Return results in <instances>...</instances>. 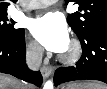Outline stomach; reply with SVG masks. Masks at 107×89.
<instances>
[{
    "mask_svg": "<svg viewBox=\"0 0 107 89\" xmlns=\"http://www.w3.org/2000/svg\"><path fill=\"white\" fill-rule=\"evenodd\" d=\"M64 89H85V87H79L77 85L69 84Z\"/></svg>",
    "mask_w": 107,
    "mask_h": 89,
    "instance_id": "1",
    "label": "stomach"
}]
</instances>
